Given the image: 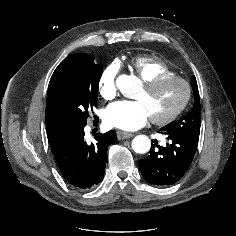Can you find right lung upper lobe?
I'll return each instance as SVG.
<instances>
[{"instance_id":"obj_1","label":"right lung upper lobe","mask_w":236,"mask_h":236,"mask_svg":"<svg viewBox=\"0 0 236 236\" xmlns=\"http://www.w3.org/2000/svg\"><path fill=\"white\" fill-rule=\"evenodd\" d=\"M70 60V56L64 59L59 66L55 69L49 83L48 93H47V103H46V127L47 132L50 133L52 131H60L62 135L67 131L62 116L58 112V110L52 104L51 95L53 89L55 87L56 79L61 71L68 65ZM54 143V142H52ZM51 144V143H50Z\"/></svg>"}]
</instances>
